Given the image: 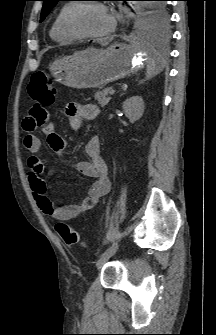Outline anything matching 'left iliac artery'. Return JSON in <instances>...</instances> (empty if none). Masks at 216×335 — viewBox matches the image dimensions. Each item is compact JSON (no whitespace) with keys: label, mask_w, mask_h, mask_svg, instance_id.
Returning <instances> with one entry per match:
<instances>
[{"label":"left iliac artery","mask_w":216,"mask_h":335,"mask_svg":"<svg viewBox=\"0 0 216 335\" xmlns=\"http://www.w3.org/2000/svg\"><path fill=\"white\" fill-rule=\"evenodd\" d=\"M118 249V243L117 242H113L108 248H106L102 253H101V257L105 256V255H112L116 252V250Z\"/></svg>","instance_id":"44dca946"}]
</instances>
